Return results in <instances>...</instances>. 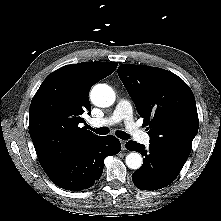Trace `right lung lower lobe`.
<instances>
[{
    "instance_id": "1",
    "label": "right lung lower lobe",
    "mask_w": 221,
    "mask_h": 221,
    "mask_svg": "<svg viewBox=\"0 0 221 221\" xmlns=\"http://www.w3.org/2000/svg\"><path fill=\"white\" fill-rule=\"evenodd\" d=\"M120 150V141L115 136H98L46 171V174L55 185L63 189H87L101 177L104 159Z\"/></svg>"
}]
</instances>
